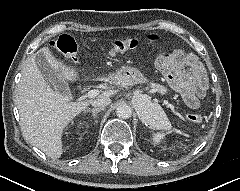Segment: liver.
I'll use <instances>...</instances> for the list:
<instances>
[{
    "mask_svg": "<svg viewBox=\"0 0 240 191\" xmlns=\"http://www.w3.org/2000/svg\"><path fill=\"white\" fill-rule=\"evenodd\" d=\"M38 54H43L50 65L56 71H60L61 77L66 80L75 81L77 72L55 59L50 50L43 47L26 60L16 89L15 102L19 109L25 139L47 156L59 158L63 152L61 140L63 129L78 114L85 111L94 99L73 102L70 94L53 90L36 64ZM103 80L117 84L110 79ZM113 95L115 91H103L97 99L110 98Z\"/></svg>",
    "mask_w": 240,
    "mask_h": 191,
    "instance_id": "6515ba94",
    "label": "liver"
}]
</instances>
